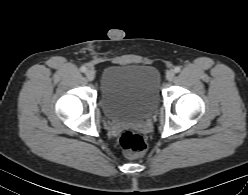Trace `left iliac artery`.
Segmentation results:
<instances>
[{
    "mask_svg": "<svg viewBox=\"0 0 248 195\" xmlns=\"http://www.w3.org/2000/svg\"><path fill=\"white\" fill-rule=\"evenodd\" d=\"M180 70H181V69H180V67H178V66L174 68V71H175L176 73L180 72Z\"/></svg>",
    "mask_w": 248,
    "mask_h": 195,
    "instance_id": "44dca946",
    "label": "left iliac artery"
}]
</instances>
